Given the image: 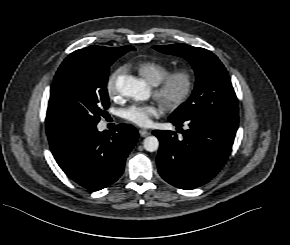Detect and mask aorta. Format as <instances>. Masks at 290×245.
I'll return each mask as SVG.
<instances>
[{
  "instance_id": "762f6f07",
  "label": "aorta",
  "mask_w": 290,
  "mask_h": 245,
  "mask_svg": "<svg viewBox=\"0 0 290 245\" xmlns=\"http://www.w3.org/2000/svg\"><path fill=\"white\" fill-rule=\"evenodd\" d=\"M116 86L122 95L132 97L136 100H147L150 96L146 82L133 76L119 77ZM143 144L145 150L148 152L157 151L159 148V140L155 136L146 137Z\"/></svg>"
}]
</instances>
